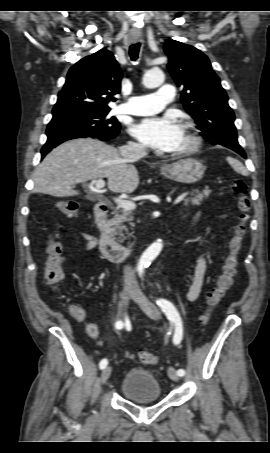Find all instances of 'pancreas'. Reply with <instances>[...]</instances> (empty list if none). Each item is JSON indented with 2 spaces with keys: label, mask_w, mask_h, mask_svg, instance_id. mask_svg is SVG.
Instances as JSON below:
<instances>
[{
  "label": "pancreas",
  "mask_w": 270,
  "mask_h": 453,
  "mask_svg": "<svg viewBox=\"0 0 270 453\" xmlns=\"http://www.w3.org/2000/svg\"><path fill=\"white\" fill-rule=\"evenodd\" d=\"M210 193L211 190L208 188L204 189L202 192H196V194H192L190 197L185 199V205L192 204L199 206L206 198H208ZM112 214L114 215L113 218L107 221V228L109 232L113 235L124 237L123 231H128L125 223L128 222L130 225H133L132 211L115 208Z\"/></svg>",
  "instance_id": "cf45deb5"
}]
</instances>
